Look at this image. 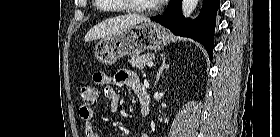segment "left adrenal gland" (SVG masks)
<instances>
[{"instance_id": "a2214340", "label": "left adrenal gland", "mask_w": 280, "mask_h": 137, "mask_svg": "<svg viewBox=\"0 0 280 137\" xmlns=\"http://www.w3.org/2000/svg\"><path fill=\"white\" fill-rule=\"evenodd\" d=\"M166 59H167V57H165V56L162 59V65H161L159 71L157 72L156 81H155L154 85H156L158 83V81L160 79V76L163 73L164 69H167V67L169 66V65L166 64Z\"/></svg>"}]
</instances>
